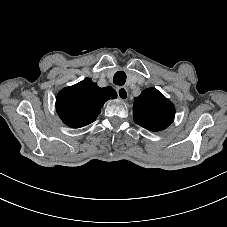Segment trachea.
I'll return each mask as SVG.
<instances>
[{
	"label": "trachea",
	"mask_w": 227,
	"mask_h": 227,
	"mask_svg": "<svg viewBox=\"0 0 227 227\" xmlns=\"http://www.w3.org/2000/svg\"><path fill=\"white\" fill-rule=\"evenodd\" d=\"M126 78H127V76H126L125 72L118 71L114 74L113 83L115 85H120V86L124 85L126 82Z\"/></svg>",
	"instance_id": "obj_1"
}]
</instances>
